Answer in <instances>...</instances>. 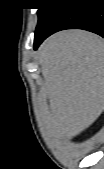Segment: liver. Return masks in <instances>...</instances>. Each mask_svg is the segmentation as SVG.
I'll return each instance as SVG.
<instances>
[{
    "instance_id": "6515ba94",
    "label": "liver",
    "mask_w": 104,
    "mask_h": 169,
    "mask_svg": "<svg viewBox=\"0 0 104 169\" xmlns=\"http://www.w3.org/2000/svg\"><path fill=\"white\" fill-rule=\"evenodd\" d=\"M50 128L67 139L92 125L104 108V41L84 30L61 31L39 47Z\"/></svg>"
}]
</instances>
